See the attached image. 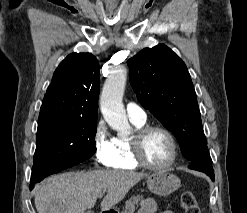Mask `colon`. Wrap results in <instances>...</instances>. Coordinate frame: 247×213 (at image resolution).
I'll list each match as a JSON object with an SVG mask.
<instances>
[{
    "mask_svg": "<svg viewBox=\"0 0 247 213\" xmlns=\"http://www.w3.org/2000/svg\"><path fill=\"white\" fill-rule=\"evenodd\" d=\"M181 207L184 213H201L196 197L190 191H186L182 194Z\"/></svg>",
    "mask_w": 247,
    "mask_h": 213,
    "instance_id": "obj_1",
    "label": "colon"
}]
</instances>
